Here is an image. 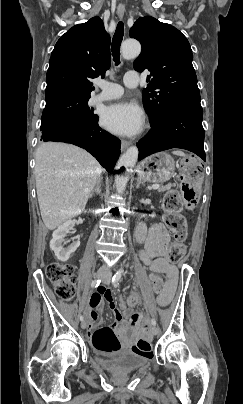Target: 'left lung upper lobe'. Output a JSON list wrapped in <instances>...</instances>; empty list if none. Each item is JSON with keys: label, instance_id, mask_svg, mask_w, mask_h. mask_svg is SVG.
Here are the masks:
<instances>
[{"label": "left lung upper lobe", "instance_id": "obj_1", "mask_svg": "<svg viewBox=\"0 0 243 404\" xmlns=\"http://www.w3.org/2000/svg\"><path fill=\"white\" fill-rule=\"evenodd\" d=\"M130 37L142 45L134 69L150 71L143 91V105L151 124L177 106L201 107L192 50L187 38L172 25L151 16L139 18Z\"/></svg>", "mask_w": 243, "mask_h": 404}]
</instances>
